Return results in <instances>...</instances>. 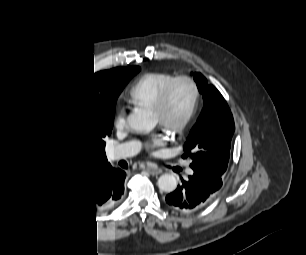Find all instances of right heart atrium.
I'll use <instances>...</instances> for the list:
<instances>
[{"label": "right heart atrium", "instance_id": "obj_1", "mask_svg": "<svg viewBox=\"0 0 306 255\" xmlns=\"http://www.w3.org/2000/svg\"><path fill=\"white\" fill-rule=\"evenodd\" d=\"M114 123L118 129H123L127 126L128 120L123 114H118L115 116Z\"/></svg>", "mask_w": 306, "mask_h": 255}]
</instances>
